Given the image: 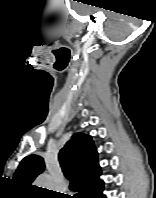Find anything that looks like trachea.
Segmentation results:
<instances>
[{
	"label": "trachea",
	"instance_id": "3493384b",
	"mask_svg": "<svg viewBox=\"0 0 156 198\" xmlns=\"http://www.w3.org/2000/svg\"><path fill=\"white\" fill-rule=\"evenodd\" d=\"M74 198H83V195H82V193H78V194H76V195L74 196Z\"/></svg>",
	"mask_w": 156,
	"mask_h": 198
}]
</instances>
